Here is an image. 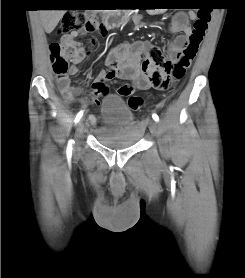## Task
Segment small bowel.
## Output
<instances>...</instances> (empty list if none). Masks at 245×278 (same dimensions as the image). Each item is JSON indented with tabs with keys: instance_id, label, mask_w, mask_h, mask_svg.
<instances>
[{
	"instance_id": "c3829d8e",
	"label": "small bowel",
	"mask_w": 245,
	"mask_h": 278,
	"mask_svg": "<svg viewBox=\"0 0 245 278\" xmlns=\"http://www.w3.org/2000/svg\"><path fill=\"white\" fill-rule=\"evenodd\" d=\"M151 12L158 13L159 10L152 9ZM189 17L194 18V14L190 13ZM140 18V16H136L137 20H140ZM94 30L98 33V37L92 38V46H96L99 43V37L102 38L107 34V28L102 25H99ZM169 30L172 33L183 32L177 35L167 46V53L170 60L176 61L182 56L184 49L188 45L193 29L189 24L187 15L178 13L171 20ZM86 33L87 29H82L78 32L63 35L61 38L63 43L76 46L84 52L82 58H76L71 61V65L63 78L58 77V87L63 94L71 95L73 92L83 91L81 87L71 85L69 76L78 73V64L84 61L88 56V52L76 40L78 36L86 35ZM142 53H146L147 55L144 62H141ZM159 60L163 61L164 65L159 66L157 64ZM106 63L108 71L102 70L98 73L94 81V86L90 92V100L93 103H97L101 96L106 93V83L109 80H131L134 86L139 90H148L150 88L162 89L164 87V71L167 64L160 48L153 42L144 41L138 42L132 46L127 44L116 46L109 53ZM156 71H159L161 74L160 81L154 79V73Z\"/></svg>"
}]
</instances>
